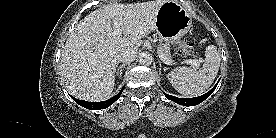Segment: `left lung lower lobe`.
<instances>
[{"instance_id":"left-lung-lower-lobe-1","label":"left lung lower lobe","mask_w":276,"mask_h":138,"mask_svg":"<svg viewBox=\"0 0 276 138\" xmlns=\"http://www.w3.org/2000/svg\"><path fill=\"white\" fill-rule=\"evenodd\" d=\"M218 82H217V84L209 92L205 93L204 95L195 97V98H178V97H174V96L168 95L166 93H164V95L169 100H172V101H174V102H176V103H178L180 105L194 106V105H197V104L203 102L206 98H208L211 95V93L215 90V88L217 87Z\"/></svg>"}]
</instances>
